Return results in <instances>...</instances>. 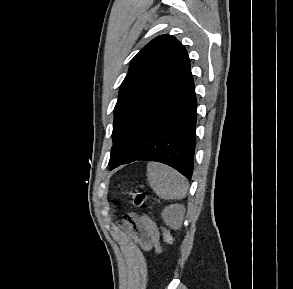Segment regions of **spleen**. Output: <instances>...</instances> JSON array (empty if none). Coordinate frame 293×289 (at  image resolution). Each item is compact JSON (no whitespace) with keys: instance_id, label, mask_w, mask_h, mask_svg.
<instances>
[{"instance_id":"spleen-1","label":"spleen","mask_w":293,"mask_h":289,"mask_svg":"<svg viewBox=\"0 0 293 289\" xmlns=\"http://www.w3.org/2000/svg\"><path fill=\"white\" fill-rule=\"evenodd\" d=\"M147 180L153 191L161 198L179 200L186 196L188 184L176 170L160 163L147 165Z\"/></svg>"}]
</instances>
